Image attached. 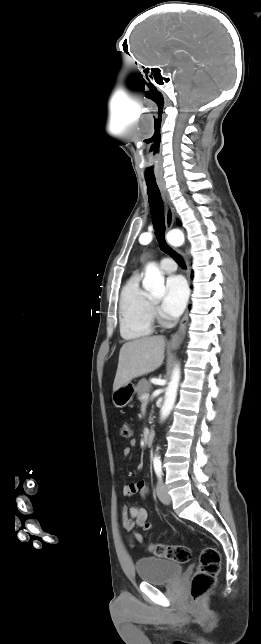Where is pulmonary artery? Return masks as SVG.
<instances>
[{
    "instance_id": "obj_1",
    "label": "pulmonary artery",
    "mask_w": 261,
    "mask_h": 644,
    "mask_svg": "<svg viewBox=\"0 0 261 644\" xmlns=\"http://www.w3.org/2000/svg\"><path fill=\"white\" fill-rule=\"evenodd\" d=\"M160 267L166 272H171L176 269V263L172 259L165 258L161 260Z\"/></svg>"
}]
</instances>
